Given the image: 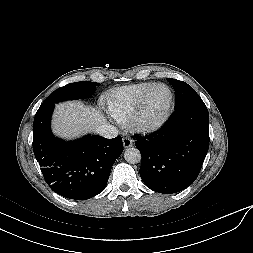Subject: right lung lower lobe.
I'll list each match as a JSON object with an SVG mask.
<instances>
[{
	"label": "right lung lower lobe",
	"mask_w": 253,
	"mask_h": 253,
	"mask_svg": "<svg viewBox=\"0 0 253 253\" xmlns=\"http://www.w3.org/2000/svg\"><path fill=\"white\" fill-rule=\"evenodd\" d=\"M54 106L42 104L34 118L33 151L44 179L66 198L94 197L104 190L111 168L123 151L122 138L87 135L72 142L57 139L50 129Z\"/></svg>",
	"instance_id": "1"
}]
</instances>
